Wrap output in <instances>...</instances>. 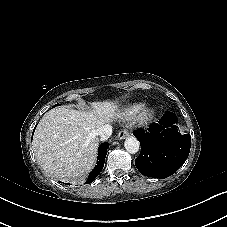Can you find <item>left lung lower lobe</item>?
<instances>
[{
  "mask_svg": "<svg viewBox=\"0 0 227 227\" xmlns=\"http://www.w3.org/2000/svg\"><path fill=\"white\" fill-rule=\"evenodd\" d=\"M176 123V114L166 111L158 123L148 128V132H134L141 145L135 165L142 175L167 178L186 161L191 146L190 134L177 132Z\"/></svg>",
  "mask_w": 227,
  "mask_h": 227,
  "instance_id": "0a47b994",
  "label": "left lung lower lobe"
}]
</instances>
